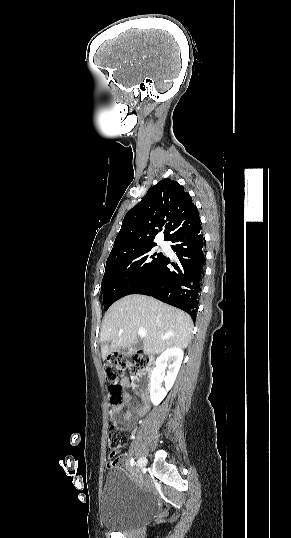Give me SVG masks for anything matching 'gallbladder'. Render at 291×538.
Instances as JSON below:
<instances>
[{"instance_id": "bac80fb5", "label": "gallbladder", "mask_w": 291, "mask_h": 538, "mask_svg": "<svg viewBox=\"0 0 291 538\" xmlns=\"http://www.w3.org/2000/svg\"><path fill=\"white\" fill-rule=\"evenodd\" d=\"M141 347H142V344H141V343H137V344L135 345V348H136V349H140Z\"/></svg>"}]
</instances>
